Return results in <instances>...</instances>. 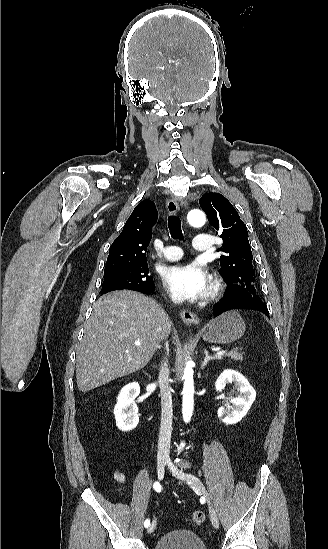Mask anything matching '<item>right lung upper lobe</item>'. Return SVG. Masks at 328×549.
Segmentation results:
<instances>
[{
    "mask_svg": "<svg viewBox=\"0 0 328 549\" xmlns=\"http://www.w3.org/2000/svg\"><path fill=\"white\" fill-rule=\"evenodd\" d=\"M157 217L155 204L150 200L135 207L121 234L110 246L105 271L147 263L146 251Z\"/></svg>",
    "mask_w": 328,
    "mask_h": 549,
    "instance_id": "right-lung-upper-lobe-1",
    "label": "right lung upper lobe"
}]
</instances>
